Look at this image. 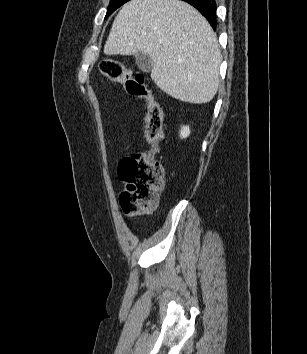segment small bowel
I'll list each match as a JSON object with an SVG mask.
<instances>
[{
  "instance_id": "1",
  "label": "small bowel",
  "mask_w": 307,
  "mask_h": 354,
  "mask_svg": "<svg viewBox=\"0 0 307 354\" xmlns=\"http://www.w3.org/2000/svg\"><path fill=\"white\" fill-rule=\"evenodd\" d=\"M135 144H136V141H134V140L129 141L125 146V151L126 152L129 151Z\"/></svg>"
}]
</instances>
